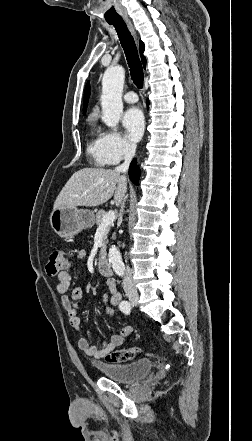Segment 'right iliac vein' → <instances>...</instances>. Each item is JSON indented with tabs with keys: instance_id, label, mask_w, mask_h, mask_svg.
Masks as SVG:
<instances>
[{
	"instance_id": "1",
	"label": "right iliac vein",
	"mask_w": 252,
	"mask_h": 441,
	"mask_svg": "<svg viewBox=\"0 0 252 441\" xmlns=\"http://www.w3.org/2000/svg\"><path fill=\"white\" fill-rule=\"evenodd\" d=\"M126 295L130 301V303L133 306H136L138 304V300H139V295L138 292L136 290H132V289H127L126 290Z\"/></svg>"
}]
</instances>
